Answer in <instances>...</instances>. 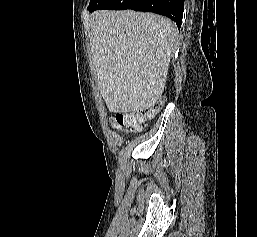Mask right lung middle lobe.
<instances>
[{
  "instance_id": "1",
  "label": "right lung middle lobe",
  "mask_w": 257,
  "mask_h": 237,
  "mask_svg": "<svg viewBox=\"0 0 257 237\" xmlns=\"http://www.w3.org/2000/svg\"><path fill=\"white\" fill-rule=\"evenodd\" d=\"M109 0H91L89 3V7L99 8L106 4Z\"/></svg>"
}]
</instances>
